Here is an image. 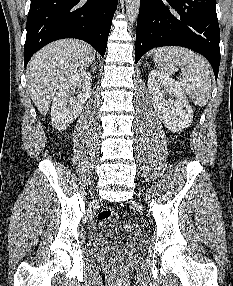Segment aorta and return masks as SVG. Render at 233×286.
I'll use <instances>...</instances> for the list:
<instances>
[{
    "label": "aorta",
    "mask_w": 233,
    "mask_h": 286,
    "mask_svg": "<svg viewBox=\"0 0 233 286\" xmlns=\"http://www.w3.org/2000/svg\"><path fill=\"white\" fill-rule=\"evenodd\" d=\"M128 21L133 24L138 18L140 0H125Z\"/></svg>",
    "instance_id": "obj_1"
}]
</instances>
